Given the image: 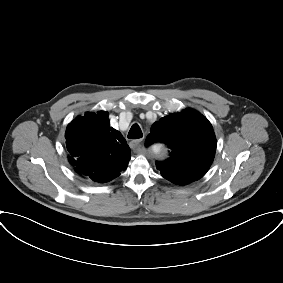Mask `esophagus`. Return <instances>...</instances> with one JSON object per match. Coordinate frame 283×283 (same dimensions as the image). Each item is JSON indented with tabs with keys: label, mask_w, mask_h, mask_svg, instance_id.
Returning a JSON list of instances; mask_svg holds the SVG:
<instances>
[{
	"label": "esophagus",
	"mask_w": 283,
	"mask_h": 283,
	"mask_svg": "<svg viewBox=\"0 0 283 283\" xmlns=\"http://www.w3.org/2000/svg\"><path fill=\"white\" fill-rule=\"evenodd\" d=\"M142 139H137V140H132L129 145L131 148L135 149V148H138L140 147V145L142 144Z\"/></svg>",
	"instance_id": "obj_1"
}]
</instances>
